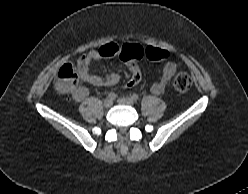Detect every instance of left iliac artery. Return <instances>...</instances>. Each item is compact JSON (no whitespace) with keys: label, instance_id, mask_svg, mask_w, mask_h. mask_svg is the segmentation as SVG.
<instances>
[{"label":"left iliac artery","instance_id":"44dca946","mask_svg":"<svg viewBox=\"0 0 248 194\" xmlns=\"http://www.w3.org/2000/svg\"><path fill=\"white\" fill-rule=\"evenodd\" d=\"M131 98L134 100V101H137L139 99V96L137 94H132Z\"/></svg>","mask_w":248,"mask_h":194}]
</instances>
